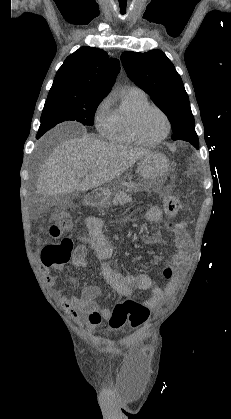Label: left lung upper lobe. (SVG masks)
Wrapping results in <instances>:
<instances>
[{
  "mask_svg": "<svg viewBox=\"0 0 231 419\" xmlns=\"http://www.w3.org/2000/svg\"><path fill=\"white\" fill-rule=\"evenodd\" d=\"M121 61L128 77L167 115L173 130L171 138L199 146L188 95L167 56L160 50L126 51L121 55Z\"/></svg>",
  "mask_w": 231,
  "mask_h": 419,
  "instance_id": "1",
  "label": "left lung upper lobe"
}]
</instances>
